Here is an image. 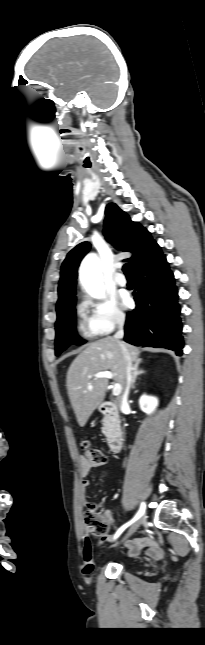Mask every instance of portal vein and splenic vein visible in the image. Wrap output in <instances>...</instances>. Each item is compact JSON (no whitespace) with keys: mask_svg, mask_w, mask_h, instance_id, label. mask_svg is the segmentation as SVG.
Instances as JSON below:
<instances>
[{"mask_svg":"<svg viewBox=\"0 0 205 645\" xmlns=\"http://www.w3.org/2000/svg\"><path fill=\"white\" fill-rule=\"evenodd\" d=\"M94 377H95V378H108V379H112V378L114 377V375H113L110 371H100V372L96 373V374L94 375ZM88 388H89V389H91V388H92V386H91V385H89V386H88ZM121 391H122V387H121V385H120V384H115V385L113 386L112 394H113L114 396H119V395L121 394Z\"/></svg>","mask_w":205,"mask_h":645,"instance_id":"18ae733b","label":"portal vein and splenic vein"}]
</instances>
